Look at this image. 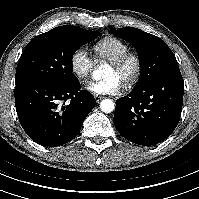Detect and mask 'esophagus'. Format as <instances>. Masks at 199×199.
<instances>
[{
	"mask_svg": "<svg viewBox=\"0 0 199 199\" xmlns=\"http://www.w3.org/2000/svg\"><path fill=\"white\" fill-rule=\"evenodd\" d=\"M94 99H95V101H96L97 103H99V102L103 99V97H102V96H99V95H94Z\"/></svg>",
	"mask_w": 199,
	"mask_h": 199,
	"instance_id": "1",
	"label": "esophagus"
}]
</instances>
